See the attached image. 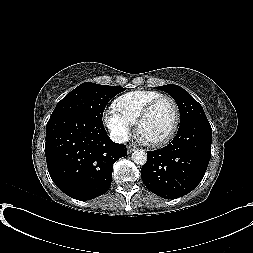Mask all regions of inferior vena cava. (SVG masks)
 <instances>
[{
    "mask_svg": "<svg viewBox=\"0 0 253 253\" xmlns=\"http://www.w3.org/2000/svg\"><path fill=\"white\" fill-rule=\"evenodd\" d=\"M111 140L116 143H124L128 141V137L122 134H115L111 136Z\"/></svg>",
    "mask_w": 253,
    "mask_h": 253,
    "instance_id": "1",
    "label": "inferior vena cava"
}]
</instances>
